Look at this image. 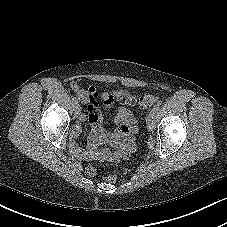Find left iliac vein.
I'll return each mask as SVG.
<instances>
[{
    "mask_svg": "<svg viewBox=\"0 0 227 227\" xmlns=\"http://www.w3.org/2000/svg\"><path fill=\"white\" fill-rule=\"evenodd\" d=\"M146 123L149 131H153L155 129V113L152 110L146 118Z\"/></svg>",
    "mask_w": 227,
    "mask_h": 227,
    "instance_id": "left-iliac-vein-1",
    "label": "left iliac vein"
}]
</instances>
